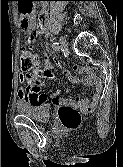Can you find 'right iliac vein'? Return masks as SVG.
Listing matches in <instances>:
<instances>
[{
	"label": "right iliac vein",
	"instance_id": "63e3f726",
	"mask_svg": "<svg viewBox=\"0 0 123 167\" xmlns=\"http://www.w3.org/2000/svg\"><path fill=\"white\" fill-rule=\"evenodd\" d=\"M59 43H60V45H61L62 47H64V48L67 47V41H66V39H65L63 36H61V37L59 38Z\"/></svg>",
	"mask_w": 123,
	"mask_h": 167
}]
</instances>
